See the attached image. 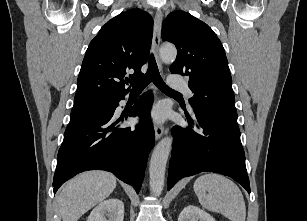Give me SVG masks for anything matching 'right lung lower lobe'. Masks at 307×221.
I'll list each match as a JSON object with an SVG mask.
<instances>
[{
    "instance_id": "right-lung-lower-lobe-1",
    "label": "right lung lower lobe",
    "mask_w": 307,
    "mask_h": 221,
    "mask_svg": "<svg viewBox=\"0 0 307 221\" xmlns=\"http://www.w3.org/2000/svg\"><path fill=\"white\" fill-rule=\"evenodd\" d=\"M119 101L107 115L66 128L57 156L54 193L65 181L87 170L110 171L139 192L155 142L149 115L153 97L151 92L143 94L127 115L140 117L135 127H121L123 118L116 120L114 112Z\"/></svg>"
}]
</instances>
